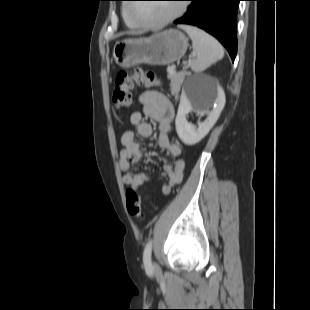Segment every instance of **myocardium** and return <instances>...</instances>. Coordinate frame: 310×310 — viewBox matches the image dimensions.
<instances>
[{"mask_svg": "<svg viewBox=\"0 0 310 310\" xmlns=\"http://www.w3.org/2000/svg\"><path fill=\"white\" fill-rule=\"evenodd\" d=\"M132 4H127L126 5V15L127 17L134 23L136 24L138 27H142V28H147V29H152V30H156V29H160L163 28L167 25H169L170 23L174 22L175 20H177L178 18H180L187 10V5L185 3H182L178 6L177 11L171 15L170 17L160 21V22H156V23H152V22H145L142 21L136 17H134L133 15H131L130 13V8H131Z\"/></svg>", "mask_w": 310, "mask_h": 310, "instance_id": "f54148a6", "label": "myocardium"}]
</instances>
